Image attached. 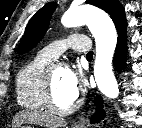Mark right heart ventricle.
Here are the masks:
<instances>
[{
	"label": "right heart ventricle",
	"mask_w": 142,
	"mask_h": 128,
	"mask_svg": "<svg viewBox=\"0 0 142 128\" xmlns=\"http://www.w3.org/2000/svg\"><path fill=\"white\" fill-rule=\"evenodd\" d=\"M51 59L39 53L25 66L16 77V96L20 106L31 110H43L44 79Z\"/></svg>",
	"instance_id": "obj_1"
}]
</instances>
